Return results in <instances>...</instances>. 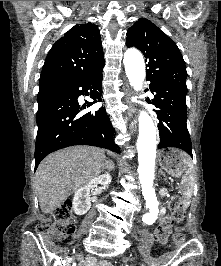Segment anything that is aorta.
Returning a JSON list of instances; mask_svg holds the SVG:
<instances>
[{"label": "aorta", "mask_w": 221, "mask_h": 266, "mask_svg": "<svg viewBox=\"0 0 221 266\" xmlns=\"http://www.w3.org/2000/svg\"><path fill=\"white\" fill-rule=\"evenodd\" d=\"M123 62L130 86L135 91H141L145 79V63L142 54L135 49H129L124 54ZM138 120L139 136L136 143L139 163L138 174L146 207L150 210L143 219L146 223H152L158 215L159 205L153 187L157 145L156 128L152 118L143 110L140 111Z\"/></svg>", "instance_id": "obj_1"}]
</instances>
